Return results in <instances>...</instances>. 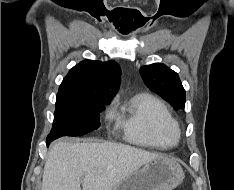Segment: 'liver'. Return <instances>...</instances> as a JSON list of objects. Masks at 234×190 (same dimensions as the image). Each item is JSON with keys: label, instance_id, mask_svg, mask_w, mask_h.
I'll use <instances>...</instances> for the list:
<instances>
[{"label": "liver", "instance_id": "1", "mask_svg": "<svg viewBox=\"0 0 234 190\" xmlns=\"http://www.w3.org/2000/svg\"><path fill=\"white\" fill-rule=\"evenodd\" d=\"M158 157L159 154L113 142L58 141L51 147L44 166L42 190H112L124 177Z\"/></svg>", "mask_w": 234, "mask_h": 190}]
</instances>
